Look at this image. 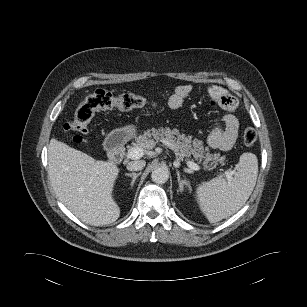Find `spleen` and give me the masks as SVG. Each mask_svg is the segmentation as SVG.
Instances as JSON below:
<instances>
[{"mask_svg": "<svg viewBox=\"0 0 307 307\" xmlns=\"http://www.w3.org/2000/svg\"><path fill=\"white\" fill-rule=\"evenodd\" d=\"M258 159L253 153H243L235 176L226 181L222 176L203 182L196 189L197 202L210 223H216L236 213L249 199L256 185Z\"/></svg>", "mask_w": 307, "mask_h": 307, "instance_id": "spleen-1", "label": "spleen"}]
</instances>
